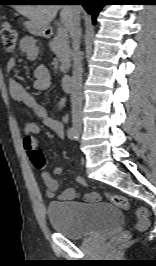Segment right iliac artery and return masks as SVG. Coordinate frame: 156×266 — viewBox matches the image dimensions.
<instances>
[{"mask_svg": "<svg viewBox=\"0 0 156 266\" xmlns=\"http://www.w3.org/2000/svg\"><path fill=\"white\" fill-rule=\"evenodd\" d=\"M67 136L71 140H76L78 138V134H77L76 130L73 127L69 128L67 130Z\"/></svg>", "mask_w": 156, "mask_h": 266, "instance_id": "right-iliac-artery-1", "label": "right iliac artery"}]
</instances>
